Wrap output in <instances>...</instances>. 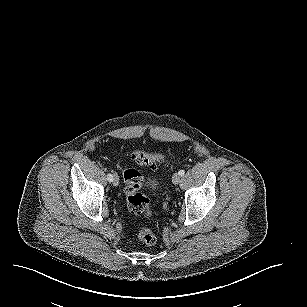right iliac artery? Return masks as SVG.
Here are the masks:
<instances>
[{
	"instance_id": "82829eb1",
	"label": "right iliac artery",
	"mask_w": 307,
	"mask_h": 307,
	"mask_svg": "<svg viewBox=\"0 0 307 307\" xmlns=\"http://www.w3.org/2000/svg\"><path fill=\"white\" fill-rule=\"evenodd\" d=\"M107 179H108L109 182H112V180H113L112 174L109 173V174L107 175Z\"/></svg>"
}]
</instances>
